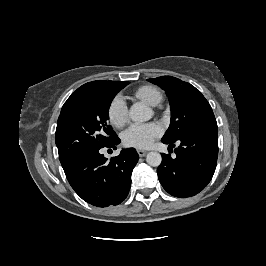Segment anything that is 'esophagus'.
Returning a JSON list of instances; mask_svg holds the SVG:
<instances>
[{"instance_id":"34e87169","label":"esophagus","mask_w":266,"mask_h":266,"mask_svg":"<svg viewBox=\"0 0 266 266\" xmlns=\"http://www.w3.org/2000/svg\"><path fill=\"white\" fill-rule=\"evenodd\" d=\"M137 153L140 157H144L147 154V151L145 150H137Z\"/></svg>"}]
</instances>
